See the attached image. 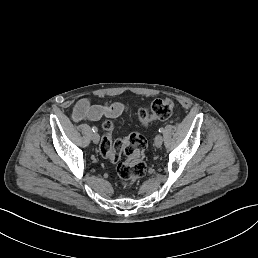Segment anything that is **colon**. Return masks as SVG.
I'll use <instances>...</instances> for the list:
<instances>
[{"instance_id": "obj_1", "label": "colon", "mask_w": 258, "mask_h": 258, "mask_svg": "<svg viewBox=\"0 0 258 258\" xmlns=\"http://www.w3.org/2000/svg\"><path fill=\"white\" fill-rule=\"evenodd\" d=\"M174 102L170 98L155 100L150 110L141 108L138 117L144 126L155 120L168 119L173 111ZM114 125L107 120L103 123L104 135L99 145L100 154L113 163H117V174L125 185H130L146 172L144 160L147 141L139 133H132L123 139L112 138ZM126 159L120 162L122 156Z\"/></svg>"}]
</instances>
